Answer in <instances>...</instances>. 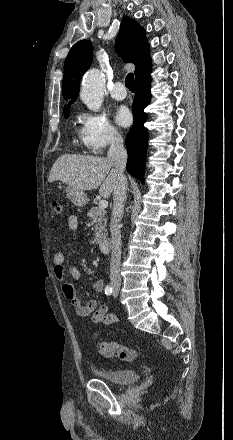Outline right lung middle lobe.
I'll return each instance as SVG.
<instances>
[{
	"mask_svg": "<svg viewBox=\"0 0 233 440\" xmlns=\"http://www.w3.org/2000/svg\"><path fill=\"white\" fill-rule=\"evenodd\" d=\"M69 108L70 107H68L67 109L63 110L65 118H68V116H69Z\"/></svg>",
	"mask_w": 233,
	"mask_h": 440,
	"instance_id": "dd1d6c3e",
	"label": "right lung middle lobe"
}]
</instances>
